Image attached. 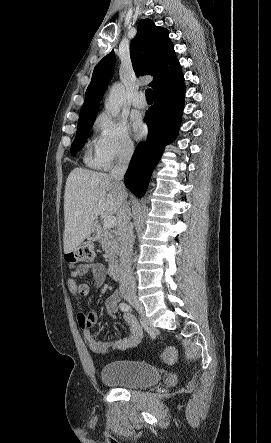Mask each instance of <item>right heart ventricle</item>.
I'll list each match as a JSON object with an SVG mask.
<instances>
[{"instance_id": "e07e8e85", "label": "right heart ventricle", "mask_w": 271, "mask_h": 443, "mask_svg": "<svg viewBox=\"0 0 271 443\" xmlns=\"http://www.w3.org/2000/svg\"><path fill=\"white\" fill-rule=\"evenodd\" d=\"M85 161L92 167H100L101 163L97 158L86 156Z\"/></svg>"}]
</instances>
